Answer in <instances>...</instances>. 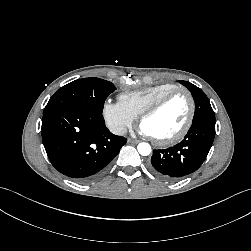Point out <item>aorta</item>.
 <instances>
[{
    "label": "aorta",
    "mask_w": 251,
    "mask_h": 251,
    "mask_svg": "<svg viewBox=\"0 0 251 251\" xmlns=\"http://www.w3.org/2000/svg\"><path fill=\"white\" fill-rule=\"evenodd\" d=\"M137 150L140 155L148 156L151 153V146L148 143L142 142L138 144Z\"/></svg>",
    "instance_id": "762f6f07"
}]
</instances>
